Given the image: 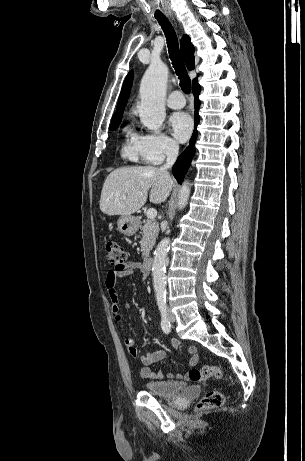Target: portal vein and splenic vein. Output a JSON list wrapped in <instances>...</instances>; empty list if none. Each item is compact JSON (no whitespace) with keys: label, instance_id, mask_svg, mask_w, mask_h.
<instances>
[{"label":"portal vein and splenic vein","instance_id":"obj_1","mask_svg":"<svg viewBox=\"0 0 305 461\" xmlns=\"http://www.w3.org/2000/svg\"><path fill=\"white\" fill-rule=\"evenodd\" d=\"M124 198L126 197L124 196ZM146 215L148 219H154L157 216V211L154 208H150L147 210Z\"/></svg>","mask_w":305,"mask_h":461}]
</instances>
